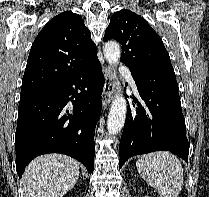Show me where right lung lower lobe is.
Returning <instances> with one entry per match:
<instances>
[{
    "mask_svg": "<svg viewBox=\"0 0 209 197\" xmlns=\"http://www.w3.org/2000/svg\"><path fill=\"white\" fill-rule=\"evenodd\" d=\"M103 84L96 59L56 85L21 95L15 133L19 176L35 157L47 153L71 156L93 172Z\"/></svg>",
    "mask_w": 209,
    "mask_h": 197,
    "instance_id": "1",
    "label": "right lung lower lobe"
}]
</instances>
